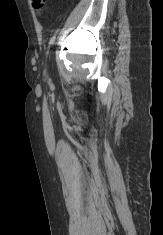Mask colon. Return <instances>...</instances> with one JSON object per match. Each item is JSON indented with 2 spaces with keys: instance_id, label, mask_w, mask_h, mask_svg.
<instances>
[{
  "instance_id": "obj_1",
  "label": "colon",
  "mask_w": 163,
  "mask_h": 235,
  "mask_svg": "<svg viewBox=\"0 0 163 235\" xmlns=\"http://www.w3.org/2000/svg\"><path fill=\"white\" fill-rule=\"evenodd\" d=\"M32 4L37 11L42 12L47 4V0H32Z\"/></svg>"
}]
</instances>
